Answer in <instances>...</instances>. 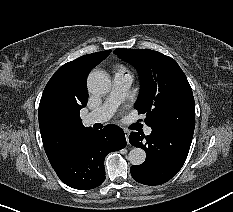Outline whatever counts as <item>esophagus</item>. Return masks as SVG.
Listing matches in <instances>:
<instances>
[{"instance_id":"esophagus-1","label":"esophagus","mask_w":233,"mask_h":212,"mask_svg":"<svg viewBox=\"0 0 233 212\" xmlns=\"http://www.w3.org/2000/svg\"><path fill=\"white\" fill-rule=\"evenodd\" d=\"M124 133H125V137H126L127 143L129 144V132L128 131H124Z\"/></svg>"}]
</instances>
